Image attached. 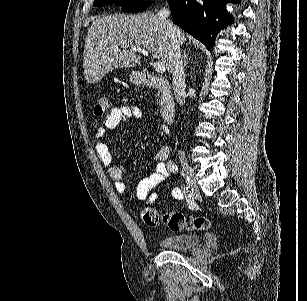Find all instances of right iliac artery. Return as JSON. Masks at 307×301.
Wrapping results in <instances>:
<instances>
[{
  "label": "right iliac artery",
  "instance_id": "right-iliac-artery-1",
  "mask_svg": "<svg viewBox=\"0 0 307 301\" xmlns=\"http://www.w3.org/2000/svg\"><path fill=\"white\" fill-rule=\"evenodd\" d=\"M167 168L173 172V173H177L178 172V167L176 165V163H174L173 161H169L167 163ZM184 176V175H183Z\"/></svg>",
  "mask_w": 307,
  "mask_h": 301
}]
</instances>
